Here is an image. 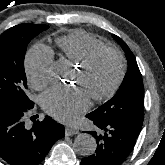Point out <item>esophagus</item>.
I'll use <instances>...</instances> for the list:
<instances>
[{
    "label": "esophagus",
    "instance_id": "1",
    "mask_svg": "<svg viewBox=\"0 0 165 165\" xmlns=\"http://www.w3.org/2000/svg\"><path fill=\"white\" fill-rule=\"evenodd\" d=\"M65 133L67 136H73V135H76L79 133V130L75 127H70V126H67L65 128Z\"/></svg>",
    "mask_w": 165,
    "mask_h": 165
}]
</instances>
